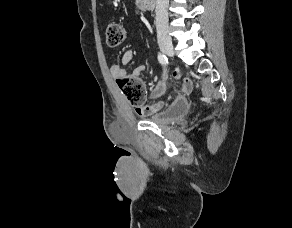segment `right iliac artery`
Here are the masks:
<instances>
[{
  "label": "right iliac artery",
  "mask_w": 292,
  "mask_h": 228,
  "mask_svg": "<svg viewBox=\"0 0 292 228\" xmlns=\"http://www.w3.org/2000/svg\"><path fill=\"white\" fill-rule=\"evenodd\" d=\"M158 61L162 64V65H166L168 64V58L164 55L159 53L158 54Z\"/></svg>",
  "instance_id": "right-iliac-artery-1"
}]
</instances>
